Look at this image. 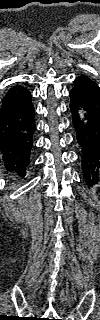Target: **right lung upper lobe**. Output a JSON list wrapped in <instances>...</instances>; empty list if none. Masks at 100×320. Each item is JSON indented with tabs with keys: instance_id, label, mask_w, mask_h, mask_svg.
I'll return each mask as SVG.
<instances>
[{
	"instance_id": "cb5924a9",
	"label": "right lung upper lobe",
	"mask_w": 100,
	"mask_h": 320,
	"mask_svg": "<svg viewBox=\"0 0 100 320\" xmlns=\"http://www.w3.org/2000/svg\"><path fill=\"white\" fill-rule=\"evenodd\" d=\"M24 89V87L20 86V85H16L13 88H10V90L7 92L6 95L11 96L14 94H17L19 92H21Z\"/></svg>"
}]
</instances>
